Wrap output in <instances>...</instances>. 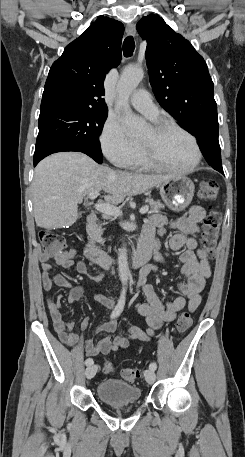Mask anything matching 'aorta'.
<instances>
[{"instance_id":"1","label":"aorta","mask_w":245,"mask_h":457,"mask_svg":"<svg viewBox=\"0 0 245 457\" xmlns=\"http://www.w3.org/2000/svg\"><path fill=\"white\" fill-rule=\"evenodd\" d=\"M144 72L140 67H127L124 69L118 81L117 92V106L122 109L123 117L122 123L131 134H139L146 129V122L141 117L132 113L129 106V98L138 84L143 79ZM118 270L119 278L122 284L128 282V257L127 249L125 246L119 249L118 254Z\"/></svg>"}]
</instances>
